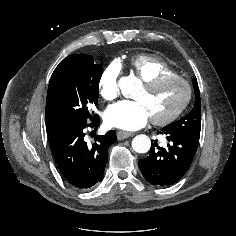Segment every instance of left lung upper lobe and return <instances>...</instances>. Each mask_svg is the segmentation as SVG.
I'll return each mask as SVG.
<instances>
[{
	"instance_id": "5c2ea615",
	"label": "left lung upper lobe",
	"mask_w": 236,
	"mask_h": 236,
	"mask_svg": "<svg viewBox=\"0 0 236 236\" xmlns=\"http://www.w3.org/2000/svg\"><path fill=\"white\" fill-rule=\"evenodd\" d=\"M193 87L195 91L194 109L181 120L171 123L166 127L171 130L187 132L200 137L201 130V101L197 79H193Z\"/></svg>"
}]
</instances>
